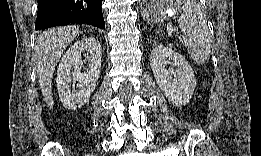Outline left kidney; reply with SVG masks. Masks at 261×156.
I'll return each instance as SVG.
<instances>
[{"mask_svg": "<svg viewBox=\"0 0 261 156\" xmlns=\"http://www.w3.org/2000/svg\"><path fill=\"white\" fill-rule=\"evenodd\" d=\"M170 61L177 67L176 70L167 69ZM150 66L160 89L173 104L182 106L189 102L197 82L191 66L181 54L168 47L157 46L151 52Z\"/></svg>", "mask_w": 261, "mask_h": 156, "instance_id": "left-kidney-1", "label": "left kidney"}]
</instances>
